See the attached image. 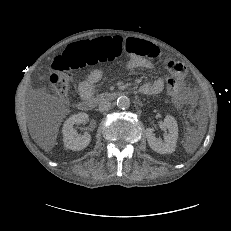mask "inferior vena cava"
<instances>
[{
	"label": "inferior vena cava",
	"instance_id": "1",
	"mask_svg": "<svg viewBox=\"0 0 231 231\" xmlns=\"http://www.w3.org/2000/svg\"><path fill=\"white\" fill-rule=\"evenodd\" d=\"M110 108H111V103L108 100L103 99L99 102V111L100 112L108 111Z\"/></svg>",
	"mask_w": 231,
	"mask_h": 231
}]
</instances>
